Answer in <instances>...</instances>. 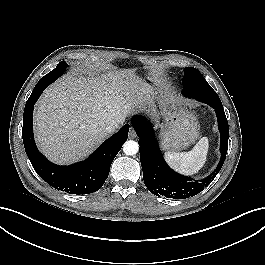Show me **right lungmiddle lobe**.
<instances>
[{
    "label": "right lung middle lobe",
    "mask_w": 265,
    "mask_h": 265,
    "mask_svg": "<svg viewBox=\"0 0 265 265\" xmlns=\"http://www.w3.org/2000/svg\"><path fill=\"white\" fill-rule=\"evenodd\" d=\"M67 67H68V64L65 61H61L54 70H52L51 72L43 76L40 80L49 82V84H51L65 72V69Z\"/></svg>",
    "instance_id": "right-lung-middle-lobe-1"
}]
</instances>
